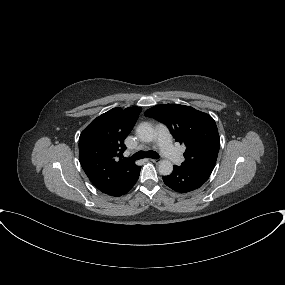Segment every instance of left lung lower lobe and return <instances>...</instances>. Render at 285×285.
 Wrapping results in <instances>:
<instances>
[{
	"mask_svg": "<svg viewBox=\"0 0 285 285\" xmlns=\"http://www.w3.org/2000/svg\"><path fill=\"white\" fill-rule=\"evenodd\" d=\"M213 171L211 167H173V172L163 176L164 183L172 190L180 193L193 191L201 187Z\"/></svg>",
	"mask_w": 285,
	"mask_h": 285,
	"instance_id": "obj_1",
	"label": "left lung lower lobe"
}]
</instances>
